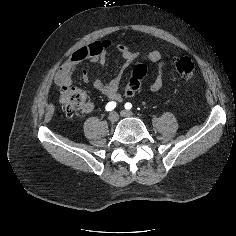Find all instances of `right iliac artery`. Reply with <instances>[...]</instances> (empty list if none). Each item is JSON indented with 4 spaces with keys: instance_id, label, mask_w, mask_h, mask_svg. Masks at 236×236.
<instances>
[{
    "instance_id": "82829eb1",
    "label": "right iliac artery",
    "mask_w": 236,
    "mask_h": 236,
    "mask_svg": "<svg viewBox=\"0 0 236 236\" xmlns=\"http://www.w3.org/2000/svg\"><path fill=\"white\" fill-rule=\"evenodd\" d=\"M115 107H116V102L111 101L107 103L105 109L106 111H112Z\"/></svg>"
}]
</instances>
